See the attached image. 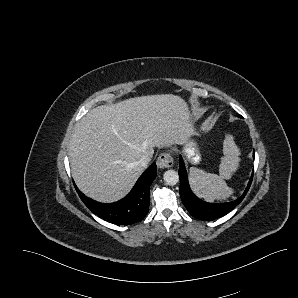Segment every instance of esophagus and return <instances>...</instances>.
I'll list each match as a JSON object with an SVG mask.
<instances>
[{"label": "esophagus", "mask_w": 298, "mask_h": 298, "mask_svg": "<svg viewBox=\"0 0 298 298\" xmlns=\"http://www.w3.org/2000/svg\"><path fill=\"white\" fill-rule=\"evenodd\" d=\"M157 166L160 169H168L173 166V158L170 153H161L157 159Z\"/></svg>", "instance_id": "1"}]
</instances>
